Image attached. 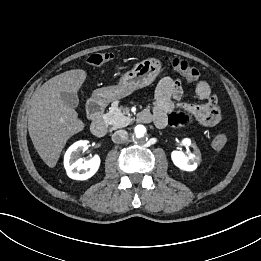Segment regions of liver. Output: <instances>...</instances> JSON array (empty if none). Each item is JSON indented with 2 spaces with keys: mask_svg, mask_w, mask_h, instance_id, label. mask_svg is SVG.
Instances as JSON below:
<instances>
[{
  "mask_svg": "<svg viewBox=\"0 0 261 261\" xmlns=\"http://www.w3.org/2000/svg\"><path fill=\"white\" fill-rule=\"evenodd\" d=\"M86 76L82 69L66 71L49 79L31 97L29 135L37 153L51 168L56 166L67 140L85 126L78 113L63 103L61 93L76 94Z\"/></svg>",
  "mask_w": 261,
  "mask_h": 261,
  "instance_id": "obj_1",
  "label": "liver"
}]
</instances>
